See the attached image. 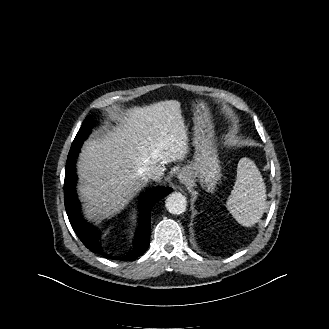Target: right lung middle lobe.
<instances>
[{
    "label": "right lung middle lobe",
    "instance_id": "1",
    "mask_svg": "<svg viewBox=\"0 0 329 329\" xmlns=\"http://www.w3.org/2000/svg\"><path fill=\"white\" fill-rule=\"evenodd\" d=\"M92 125H93V119L90 116H87L71 145V149L69 151L68 157L71 156L76 150H78L81 147L84 139L91 132Z\"/></svg>",
    "mask_w": 329,
    "mask_h": 329
}]
</instances>
